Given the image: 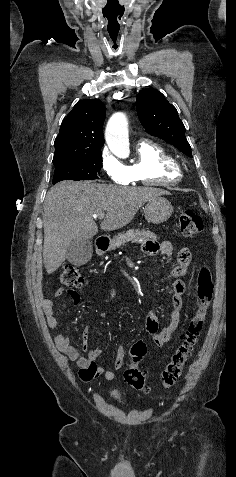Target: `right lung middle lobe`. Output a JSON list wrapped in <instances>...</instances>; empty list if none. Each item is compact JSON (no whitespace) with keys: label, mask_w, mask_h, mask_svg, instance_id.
<instances>
[{"label":"right lung middle lobe","mask_w":236,"mask_h":477,"mask_svg":"<svg viewBox=\"0 0 236 477\" xmlns=\"http://www.w3.org/2000/svg\"><path fill=\"white\" fill-rule=\"evenodd\" d=\"M53 163V184L62 180H93L98 178L97 172L102 167L101 151L85 152Z\"/></svg>","instance_id":"1"}]
</instances>
